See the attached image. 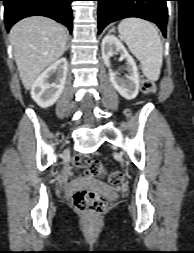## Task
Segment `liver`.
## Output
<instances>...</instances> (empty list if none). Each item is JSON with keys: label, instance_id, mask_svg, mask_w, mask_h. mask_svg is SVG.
<instances>
[{"label": "liver", "instance_id": "6515ba94", "mask_svg": "<svg viewBox=\"0 0 194 253\" xmlns=\"http://www.w3.org/2000/svg\"><path fill=\"white\" fill-rule=\"evenodd\" d=\"M67 40L65 27L46 17H28L12 27L10 41L26 90L48 66L64 54Z\"/></svg>", "mask_w": 194, "mask_h": 253}]
</instances>
